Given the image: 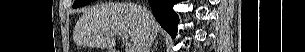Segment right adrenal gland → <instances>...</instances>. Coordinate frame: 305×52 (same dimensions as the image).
I'll return each instance as SVG.
<instances>
[{"label":"right adrenal gland","instance_id":"right-adrenal-gland-1","mask_svg":"<svg viewBox=\"0 0 305 52\" xmlns=\"http://www.w3.org/2000/svg\"><path fill=\"white\" fill-rule=\"evenodd\" d=\"M157 46V42L154 44V46L152 47V52H154V50L156 49Z\"/></svg>","mask_w":305,"mask_h":52}]
</instances>
